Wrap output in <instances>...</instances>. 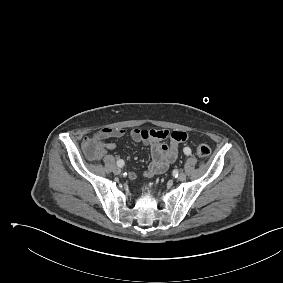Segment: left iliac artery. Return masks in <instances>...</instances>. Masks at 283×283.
<instances>
[{
	"mask_svg": "<svg viewBox=\"0 0 283 283\" xmlns=\"http://www.w3.org/2000/svg\"><path fill=\"white\" fill-rule=\"evenodd\" d=\"M184 153L186 155H189L191 153V150L188 147H186V148H184Z\"/></svg>",
	"mask_w": 283,
	"mask_h": 283,
	"instance_id": "left-iliac-artery-1",
	"label": "left iliac artery"
}]
</instances>
